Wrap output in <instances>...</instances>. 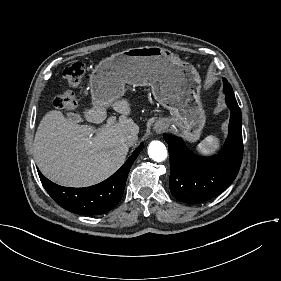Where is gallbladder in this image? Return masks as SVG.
Masks as SVG:
<instances>
[{
	"label": "gallbladder",
	"instance_id": "bac80fb5",
	"mask_svg": "<svg viewBox=\"0 0 281 281\" xmlns=\"http://www.w3.org/2000/svg\"><path fill=\"white\" fill-rule=\"evenodd\" d=\"M68 116L70 117V119H71L72 121H78L77 119L80 118L79 115L74 114V113H69Z\"/></svg>",
	"mask_w": 281,
	"mask_h": 281
}]
</instances>
